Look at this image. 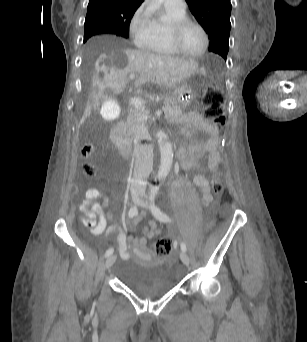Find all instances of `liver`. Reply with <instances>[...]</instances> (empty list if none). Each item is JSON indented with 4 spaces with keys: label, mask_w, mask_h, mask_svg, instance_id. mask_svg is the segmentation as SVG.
<instances>
[{
    "label": "liver",
    "mask_w": 307,
    "mask_h": 342,
    "mask_svg": "<svg viewBox=\"0 0 307 342\" xmlns=\"http://www.w3.org/2000/svg\"><path fill=\"white\" fill-rule=\"evenodd\" d=\"M121 50H107V56H100L93 68L94 74H104L103 78L93 76L92 88L94 90L93 102H88L80 124L90 116L93 108H99L100 98L105 88H111L113 94H122L128 82V74H140L135 80V88L147 82L157 86L173 88L182 80L190 78L198 72L197 62L174 58L167 54H150L145 50H128V44H121Z\"/></svg>",
    "instance_id": "6515ba94"
}]
</instances>
